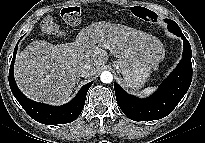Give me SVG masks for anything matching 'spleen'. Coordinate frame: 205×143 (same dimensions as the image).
Masks as SVG:
<instances>
[{"label":"spleen","mask_w":205,"mask_h":143,"mask_svg":"<svg viewBox=\"0 0 205 143\" xmlns=\"http://www.w3.org/2000/svg\"><path fill=\"white\" fill-rule=\"evenodd\" d=\"M157 88L156 87H147L143 91L140 92L141 96H149L151 95Z\"/></svg>","instance_id":"spleen-1"}]
</instances>
